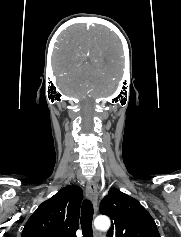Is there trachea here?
<instances>
[{"instance_id": "obj_1", "label": "trachea", "mask_w": 181, "mask_h": 237, "mask_svg": "<svg viewBox=\"0 0 181 237\" xmlns=\"http://www.w3.org/2000/svg\"><path fill=\"white\" fill-rule=\"evenodd\" d=\"M93 206L89 201H84L81 209V228L83 237H93L92 219H93Z\"/></svg>"}]
</instances>
